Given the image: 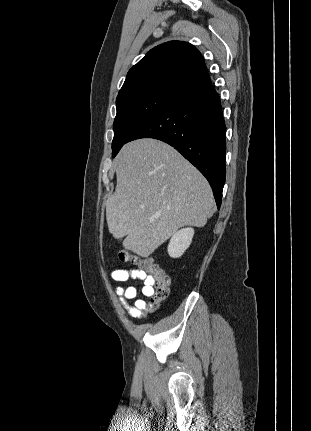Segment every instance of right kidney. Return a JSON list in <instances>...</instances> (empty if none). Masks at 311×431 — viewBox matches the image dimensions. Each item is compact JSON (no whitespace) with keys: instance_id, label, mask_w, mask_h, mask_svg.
<instances>
[{"instance_id":"ca27d5eb","label":"right kidney","mask_w":311,"mask_h":431,"mask_svg":"<svg viewBox=\"0 0 311 431\" xmlns=\"http://www.w3.org/2000/svg\"><path fill=\"white\" fill-rule=\"evenodd\" d=\"M193 235V227H183V229H179V231L173 233L168 245L170 257H181L187 247H189Z\"/></svg>"}]
</instances>
